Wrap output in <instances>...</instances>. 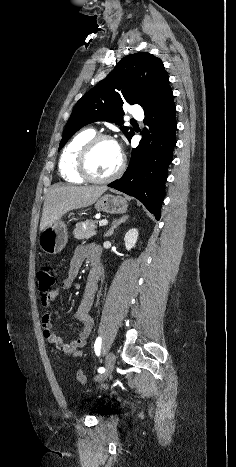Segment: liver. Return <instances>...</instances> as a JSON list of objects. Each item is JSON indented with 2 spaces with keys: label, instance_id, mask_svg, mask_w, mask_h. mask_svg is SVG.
<instances>
[{
  "label": "liver",
  "instance_id": "liver-1",
  "mask_svg": "<svg viewBox=\"0 0 236 467\" xmlns=\"http://www.w3.org/2000/svg\"><path fill=\"white\" fill-rule=\"evenodd\" d=\"M107 190L105 186H60L50 188L44 201L40 231L73 209L87 207Z\"/></svg>",
  "mask_w": 236,
  "mask_h": 467
}]
</instances>
